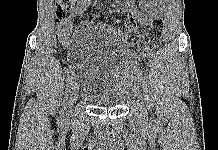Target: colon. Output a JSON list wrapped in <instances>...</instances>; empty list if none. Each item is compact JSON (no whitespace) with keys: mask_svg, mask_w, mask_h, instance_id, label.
I'll return each mask as SVG.
<instances>
[{"mask_svg":"<svg viewBox=\"0 0 218 150\" xmlns=\"http://www.w3.org/2000/svg\"><path fill=\"white\" fill-rule=\"evenodd\" d=\"M77 0H56L55 10L58 19L66 17L73 9ZM164 31V22L161 18L155 19L147 33L142 37L137 29H128L122 39L135 47L142 54L154 50L161 40Z\"/></svg>","mask_w":218,"mask_h":150,"instance_id":"obj_1","label":"colon"}]
</instances>
